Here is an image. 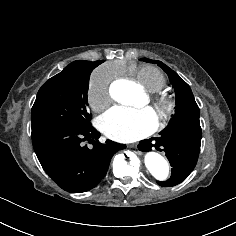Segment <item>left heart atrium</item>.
<instances>
[{
  "mask_svg": "<svg viewBox=\"0 0 236 236\" xmlns=\"http://www.w3.org/2000/svg\"><path fill=\"white\" fill-rule=\"evenodd\" d=\"M155 118L151 108L115 106L101 116L99 125L108 138L119 142H132L154 130Z\"/></svg>",
  "mask_w": 236,
  "mask_h": 236,
  "instance_id": "1",
  "label": "left heart atrium"
}]
</instances>
